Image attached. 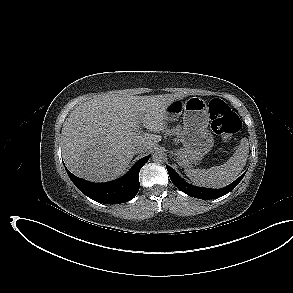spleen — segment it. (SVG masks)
I'll list each match as a JSON object with an SVG mask.
<instances>
[{
	"label": "spleen",
	"mask_w": 293,
	"mask_h": 293,
	"mask_svg": "<svg viewBox=\"0 0 293 293\" xmlns=\"http://www.w3.org/2000/svg\"><path fill=\"white\" fill-rule=\"evenodd\" d=\"M249 153L247 138H242L233 156L226 163L205 169H185L187 177L197 186L222 188L232 183L243 170Z\"/></svg>",
	"instance_id": "obj_1"
}]
</instances>
